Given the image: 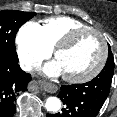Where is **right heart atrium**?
<instances>
[{
    "label": "right heart atrium",
    "mask_w": 117,
    "mask_h": 117,
    "mask_svg": "<svg viewBox=\"0 0 117 117\" xmlns=\"http://www.w3.org/2000/svg\"><path fill=\"white\" fill-rule=\"evenodd\" d=\"M17 54L22 66L31 69L48 57L51 49L43 40L40 25L25 23L16 35Z\"/></svg>",
    "instance_id": "d8ad5b80"
}]
</instances>
